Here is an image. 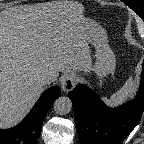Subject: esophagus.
<instances>
[{
    "label": "esophagus",
    "instance_id": "esophagus-1",
    "mask_svg": "<svg viewBox=\"0 0 144 144\" xmlns=\"http://www.w3.org/2000/svg\"><path fill=\"white\" fill-rule=\"evenodd\" d=\"M78 76L75 73L66 74L61 80V89L64 92H70L77 84Z\"/></svg>",
    "mask_w": 144,
    "mask_h": 144
}]
</instances>
